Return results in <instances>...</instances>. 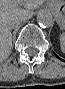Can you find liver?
Masks as SVG:
<instances>
[{
    "mask_svg": "<svg viewBox=\"0 0 65 89\" xmlns=\"http://www.w3.org/2000/svg\"><path fill=\"white\" fill-rule=\"evenodd\" d=\"M53 2V1H50ZM49 2V3H50ZM63 2V1H60ZM43 0H1L0 1V57L6 58L12 46L13 23L22 17H29L33 9Z\"/></svg>",
    "mask_w": 65,
    "mask_h": 89,
    "instance_id": "1",
    "label": "liver"
}]
</instances>
